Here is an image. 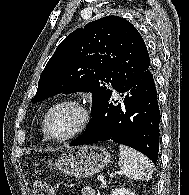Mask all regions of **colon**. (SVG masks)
I'll return each mask as SVG.
<instances>
[{"label":"colon","instance_id":"colon-1","mask_svg":"<svg viewBox=\"0 0 189 195\" xmlns=\"http://www.w3.org/2000/svg\"><path fill=\"white\" fill-rule=\"evenodd\" d=\"M33 193L34 195H55L53 188L42 179H38L34 182Z\"/></svg>","mask_w":189,"mask_h":195}]
</instances>
